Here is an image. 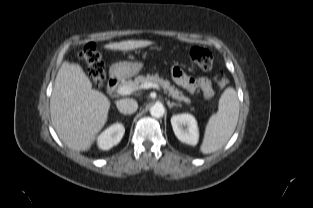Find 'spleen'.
I'll return each instance as SVG.
<instances>
[{
  "mask_svg": "<svg viewBox=\"0 0 313 208\" xmlns=\"http://www.w3.org/2000/svg\"><path fill=\"white\" fill-rule=\"evenodd\" d=\"M239 117V101L234 88L228 87L219 99L218 111L207 123L200 150L210 154L223 147L235 131Z\"/></svg>",
  "mask_w": 313,
  "mask_h": 208,
  "instance_id": "1",
  "label": "spleen"
}]
</instances>
